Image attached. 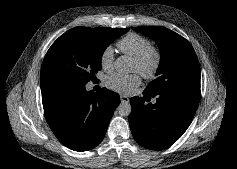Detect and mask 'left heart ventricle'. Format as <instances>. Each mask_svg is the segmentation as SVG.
I'll list each match as a JSON object with an SVG mask.
<instances>
[{
    "mask_svg": "<svg viewBox=\"0 0 237 169\" xmlns=\"http://www.w3.org/2000/svg\"><path fill=\"white\" fill-rule=\"evenodd\" d=\"M132 70L133 71H138V65H137V63L135 61H133Z\"/></svg>",
    "mask_w": 237,
    "mask_h": 169,
    "instance_id": "b2bd125f",
    "label": "left heart ventricle"
}]
</instances>
